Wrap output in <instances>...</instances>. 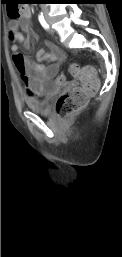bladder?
Segmentation results:
<instances>
[{
  "instance_id": "bladder-1",
  "label": "bladder",
  "mask_w": 122,
  "mask_h": 257,
  "mask_svg": "<svg viewBox=\"0 0 122 257\" xmlns=\"http://www.w3.org/2000/svg\"><path fill=\"white\" fill-rule=\"evenodd\" d=\"M26 104L30 110L40 115L48 114L51 108L49 96H46L43 98H37V97L27 98Z\"/></svg>"
}]
</instances>
